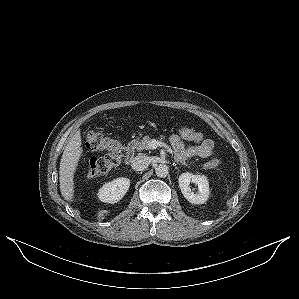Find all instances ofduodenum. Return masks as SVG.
<instances>
[{
    "label": "duodenum",
    "mask_w": 299,
    "mask_h": 299,
    "mask_svg": "<svg viewBox=\"0 0 299 299\" xmlns=\"http://www.w3.org/2000/svg\"><path fill=\"white\" fill-rule=\"evenodd\" d=\"M135 148L134 142H129L125 148L124 159L126 164H130L134 157Z\"/></svg>",
    "instance_id": "obj_1"
}]
</instances>
